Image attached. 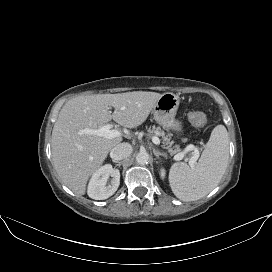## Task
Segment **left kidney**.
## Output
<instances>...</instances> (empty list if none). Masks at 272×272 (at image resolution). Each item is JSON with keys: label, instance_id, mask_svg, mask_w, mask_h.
<instances>
[{"label": "left kidney", "instance_id": "left-kidney-1", "mask_svg": "<svg viewBox=\"0 0 272 272\" xmlns=\"http://www.w3.org/2000/svg\"><path fill=\"white\" fill-rule=\"evenodd\" d=\"M165 174H166L165 169H164V168H161V170H160V175H161V177L164 178V177H165Z\"/></svg>", "mask_w": 272, "mask_h": 272}]
</instances>
